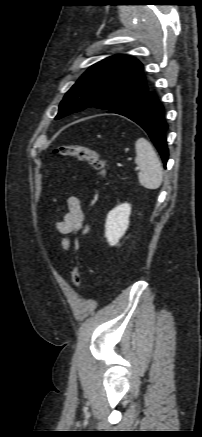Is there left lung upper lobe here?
<instances>
[{
	"mask_svg": "<svg viewBox=\"0 0 202 437\" xmlns=\"http://www.w3.org/2000/svg\"><path fill=\"white\" fill-rule=\"evenodd\" d=\"M147 90L143 66L137 59L110 56L91 66L70 88L55 119L89 106L109 111Z\"/></svg>",
	"mask_w": 202,
	"mask_h": 437,
	"instance_id": "1",
	"label": "left lung upper lobe"
}]
</instances>
